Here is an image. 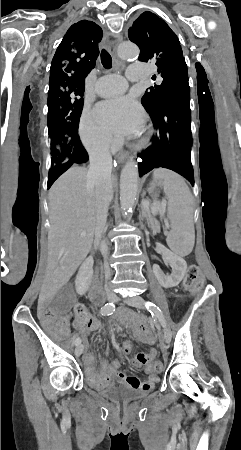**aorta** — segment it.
<instances>
[{
  "label": "aorta",
  "instance_id": "1",
  "mask_svg": "<svg viewBox=\"0 0 241 450\" xmlns=\"http://www.w3.org/2000/svg\"><path fill=\"white\" fill-rule=\"evenodd\" d=\"M139 48L133 43H122L118 47L121 59H132L139 56ZM139 172L136 162L129 160L124 165L120 175V204L123 213L127 215L132 211L138 191Z\"/></svg>",
  "mask_w": 241,
  "mask_h": 450
}]
</instances>
